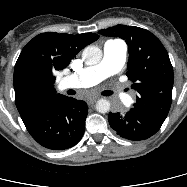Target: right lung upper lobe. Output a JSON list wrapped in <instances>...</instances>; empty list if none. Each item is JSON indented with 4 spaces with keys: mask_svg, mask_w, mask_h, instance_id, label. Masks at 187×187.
<instances>
[{
    "mask_svg": "<svg viewBox=\"0 0 187 187\" xmlns=\"http://www.w3.org/2000/svg\"><path fill=\"white\" fill-rule=\"evenodd\" d=\"M98 38L95 33L47 32L28 42L14 69L15 102L23 121L66 97L56 93L53 73L66 68L81 49Z\"/></svg>",
    "mask_w": 187,
    "mask_h": 187,
    "instance_id": "obj_1",
    "label": "right lung upper lobe"
}]
</instances>
